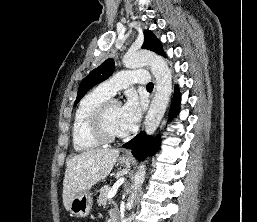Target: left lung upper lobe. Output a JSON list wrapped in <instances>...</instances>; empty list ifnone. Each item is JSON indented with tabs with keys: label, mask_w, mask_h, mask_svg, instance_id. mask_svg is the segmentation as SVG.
<instances>
[{
	"label": "left lung upper lobe",
	"mask_w": 257,
	"mask_h": 222,
	"mask_svg": "<svg viewBox=\"0 0 257 222\" xmlns=\"http://www.w3.org/2000/svg\"><path fill=\"white\" fill-rule=\"evenodd\" d=\"M144 43L142 48L152 50L160 55L165 56L162 50L160 41L149 30L144 32ZM115 64L113 59H107L99 67L92 70L87 77H85L78 89V94L75 103H78L81 98L89 91L93 86L106 80L114 71Z\"/></svg>",
	"instance_id": "5c2ea615"
}]
</instances>
